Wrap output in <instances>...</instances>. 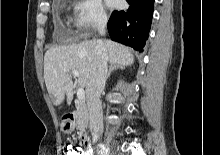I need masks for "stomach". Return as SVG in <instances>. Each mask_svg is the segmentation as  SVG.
<instances>
[{
	"instance_id": "obj_1",
	"label": "stomach",
	"mask_w": 220,
	"mask_h": 155,
	"mask_svg": "<svg viewBox=\"0 0 220 155\" xmlns=\"http://www.w3.org/2000/svg\"><path fill=\"white\" fill-rule=\"evenodd\" d=\"M61 131L65 134H70L75 128V123L71 119H64L60 124Z\"/></svg>"
}]
</instances>
